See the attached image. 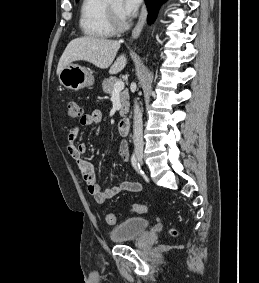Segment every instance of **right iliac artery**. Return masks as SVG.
Wrapping results in <instances>:
<instances>
[{
  "mask_svg": "<svg viewBox=\"0 0 259 283\" xmlns=\"http://www.w3.org/2000/svg\"><path fill=\"white\" fill-rule=\"evenodd\" d=\"M131 163H132V166L134 167V169H135L138 173H140V174L143 173V171L141 170L140 164L137 162V159H136L135 154H133L132 157H131Z\"/></svg>",
  "mask_w": 259,
  "mask_h": 283,
  "instance_id": "1",
  "label": "right iliac artery"
}]
</instances>
